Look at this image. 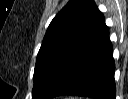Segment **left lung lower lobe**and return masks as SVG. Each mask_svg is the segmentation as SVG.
Listing matches in <instances>:
<instances>
[{
  "mask_svg": "<svg viewBox=\"0 0 128 99\" xmlns=\"http://www.w3.org/2000/svg\"><path fill=\"white\" fill-rule=\"evenodd\" d=\"M114 71L112 44L103 18L87 41L58 69L43 99L61 95L115 99Z\"/></svg>",
  "mask_w": 128,
  "mask_h": 99,
  "instance_id": "obj_1",
  "label": "left lung lower lobe"
}]
</instances>
